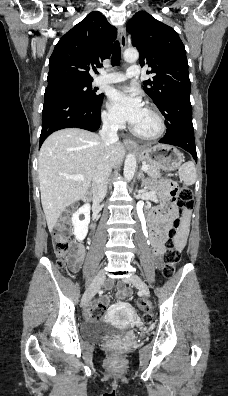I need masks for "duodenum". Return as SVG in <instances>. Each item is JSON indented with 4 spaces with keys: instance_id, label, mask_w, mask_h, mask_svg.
Instances as JSON below:
<instances>
[{
    "instance_id": "1",
    "label": "duodenum",
    "mask_w": 228,
    "mask_h": 396,
    "mask_svg": "<svg viewBox=\"0 0 228 396\" xmlns=\"http://www.w3.org/2000/svg\"><path fill=\"white\" fill-rule=\"evenodd\" d=\"M90 200H91L90 194H86L84 196L83 202L85 204H88V203H90ZM159 225L160 224H159V220L158 219H156V218H154L152 216H148L146 218V226H147V229H148V232H149V236H150L151 242H152L153 236H155V235H157L159 233Z\"/></svg>"
}]
</instances>
